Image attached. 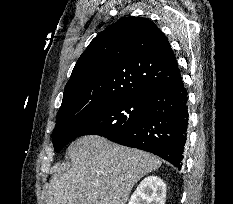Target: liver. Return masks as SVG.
I'll use <instances>...</instances> for the list:
<instances>
[{"label":"liver","mask_w":233,"mask_h":204,"mask_svg":"<svg viewBox=\"0 0 233 204\" xmlns=\"http://www.w3.org/2000/svg\"><path fill=\"white\" fill-rule=\"evenodd\" d=\"M67 171L50 180L47 204H126L133 186L158 169V157L89 135L68 148Z\"/></svg>","instance_id":"obj_1"}]
</instances>
